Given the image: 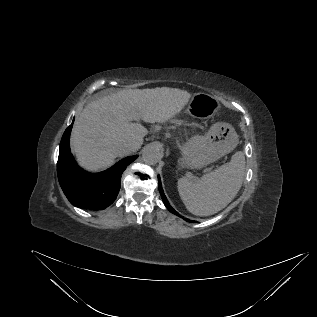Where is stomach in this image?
<instances>
[{"instance_id": "1", "label": "stomach", "mask_w": 317, "mask_h": 317, "mask_svg": "<svg viewBox=\"0 0 317 317\" xmlns=\"http://www.w3.org/2000/svg\"><path fill=\"white\" fill-rule=\"evenodd\" d=\"M192 104H201L206 108V117H212L219 109L217 99L209 94H195ZM238 144V135L228 123L213 124L205 135H194L180 146L183 154V166L200 169L230 153Z\"/></svg>"}]
</instances>
